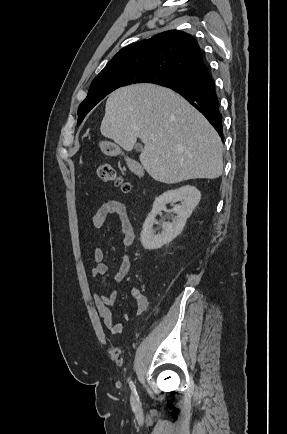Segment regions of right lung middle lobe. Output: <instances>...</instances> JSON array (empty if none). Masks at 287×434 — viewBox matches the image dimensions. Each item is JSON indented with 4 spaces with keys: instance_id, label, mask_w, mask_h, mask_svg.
<instances>
[{
    "instance_id": "obj_1",
    "label": "right lung middle lobe",
    "mask_w": 287,
    "mask_h": 434,
    "mask_svg": "<svg viewBox=\"0 0 287 434\" xmlns=\"http://www.w3.org/2000/svg\"><path fill=\"white\" fill-rule=\"evenodd\" d=\"M180 77V74L151 70L133 75H116L93 80L87 97L79 106L77 124L82 122L86 114L97 103L119 87L137 83H153L164 86L176 82Z\"/></svg>"
}]
</instances>
